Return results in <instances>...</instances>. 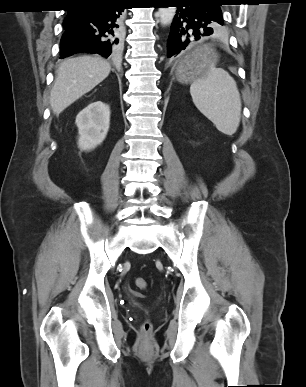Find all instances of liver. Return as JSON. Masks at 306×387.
Returning <instances> with one entry per match:
<instances>
[{
    "label": "liver",
    "instance_id": "6515ba94",
    "mask_svg": "<svg viewBox=\"0 0 306 387\" xmlns=\"http://www.w3.org/2000/svg\"><path fill=\"white\" fill-rule=\"evenodd\" d=\"M110 70V64L100 57L84 55L64 60L58 68L50 94L53 113L59 115L90 92L108 77Z\"/></svg>",
    "mask_w": 306,
    "mask_h": 387
}]
</instances>
